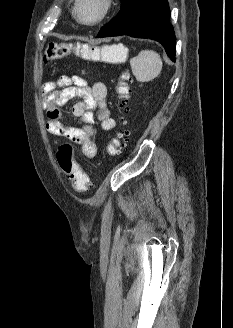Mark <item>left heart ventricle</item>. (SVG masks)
<instances>
[{
	"label": "left heart ventricle",
	"mask_w": 233,
	"mask_h": 328,
	"mask_svg": "<svg viewBox=\"0 0 233 328\" xmlns=\"http://www.w3.org/2000/svg\"><path fill=\"white\" fill-rule=\"evenodd\" d=\"M80 9L84 20H93L102 10V0H81Z\"/></svg>",
	"instance_id": "b2bd125f"
}]
</instances>
